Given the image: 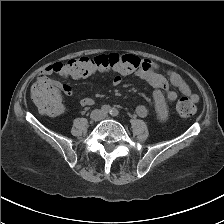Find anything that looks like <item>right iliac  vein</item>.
Segmentation results:
<instances>
[{"label":"right iliac vein","mask_w":224,"mask_h":224,"mask_svg":"<svg viewBox=\"0 0 224 224\" xmlns=\"http://www.w3.org/2000/svg\"><path fill=\"white\" fill-rule=\"evenodd\" d=\"M92 118L94 120H97L100 118V112L99 111H95L93 114H92Z\"/></svg>","instance_id":"1"}]
</instances>
